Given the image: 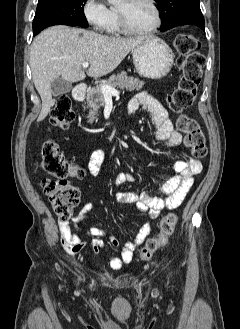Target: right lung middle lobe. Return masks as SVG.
<instances>
[{
	"mask_svg": "<svg viewBox=\"0 0 240 329\" xmlns=\"http://www.w3.org/2000/svg\"><path fill=\"white\" fill-rule=\"evenodd\" d=\"M87 0H39L33 20V32L52 25L88 27L84 15Z\"/></svg>",
	"mask_w": 240,
	"mask_h": 329,
	"instance_id": "right-lung-middle-lobe-1",
	"label": "right lung middle lobe"
}]
</instances>
